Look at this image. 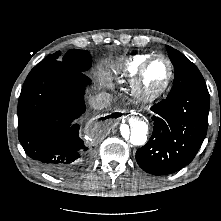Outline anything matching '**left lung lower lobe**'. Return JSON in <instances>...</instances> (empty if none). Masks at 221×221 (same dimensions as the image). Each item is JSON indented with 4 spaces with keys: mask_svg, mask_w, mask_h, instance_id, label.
I'll return each mask as SVG.
<instances>
[{
    "mask_svg": "<svg viewBox=\"0 0 221 221\" xmlns=\"http://www.w3.org/2000/svg\"><path fill=\"white\" fill-rule=\"evenodd\" d=\"M154 130L136 152L138 165L153 175H168L188 165L207 134L209 92L194 87L151 107Z\"/></svg>",
    "mask_w": 221,
    "mask_h": 221,
    "instance_id": "left-lung-lower-lobe-1",
    "label": "left lung lower lobe"
}]
</instances>
